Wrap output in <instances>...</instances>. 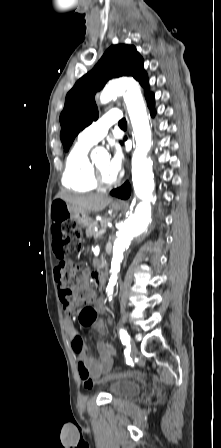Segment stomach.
<instances>
[{
  "instance_id": "0dacf381",
  "label": "stomach",
  "mask_w": 221,
  "mask_h": 448,
  "mask_svg": "<svg viewBox=\"0 0 221 448\" xmlns=\"http://www.w3.org/2000/svg\"><path fill=\"white\" fill-rule=\"evenodd\" d=\"M59 204L60 200H55L53 202V206H57ZM65 206L68 214L77 222L79 226L84 228L88 227L92 223V219L87 212L77 210L67 203H65ZM123 207H124L123 204H118L114 202H112L110 205V208L115 212L121 211Z\"/></svg>"
}]
</instances>
